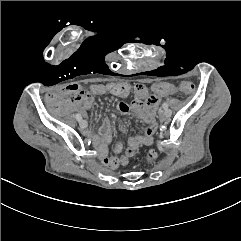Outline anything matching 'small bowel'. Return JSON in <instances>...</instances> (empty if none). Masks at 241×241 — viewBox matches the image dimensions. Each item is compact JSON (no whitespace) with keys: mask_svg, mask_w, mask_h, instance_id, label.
<instances>
[{"mask_svg":"<svg viewBox=\"0 0 241 241\" xmlns=\"http://www.w3.org/2000/svg\"><path fill=\"white\" fill-rule=\"evenodd\" d=\"M104 87L105 84H93L90 87V90L86 91L77 84L69 85L66 89V92L70 95H73L74 100L68 98L66 100V103L70 106H73L78 113L85 114L92 105L93 96L106 94ZM133 90L134 100L132 101V103L127 104L124 102H120L118 108L123 114H135L146 123V128L144 129L143 134L131 137L129 139L128 147L125 152L119 157V159H117L116 157H111L109 159L104 157L102 159L103 163L109 165L111 168H116L119 163H121L122 165H126L129 162V159L134 156L139 147L143 145H151L154 141V135L157 131L158 123L156 120V111L159 100L163 96L154 93L153 95L157 97V101L150 102V96L148 95L147 87L142 83L135 84ZM58 94L59 93L57 91L54 93H48L46 95V103L50 105V107L48 108V111L50 113L54 112L57 116H62L64 114V109L59 105V100L55 98ZM97 131L98 135L96 136H94L89 130H86L85 134L88 136H92L99 150L102 153H105L106 146L110 142L112 134L110 121L108 119H104L98 126ZM122 150L123 144L117 143L113 149V152L114 154H120Z\"/></svg>","mask_w":241,"mask_h":241,"instance_id":"obj_1","label":"small bowel"}]
</instances>
